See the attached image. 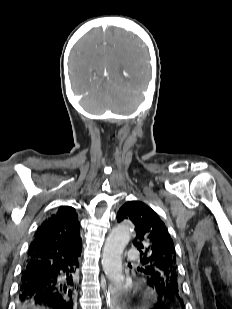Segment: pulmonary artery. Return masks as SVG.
<instances>
[{
  "label": "pulmonary artery",
  "mask_w": 232,
  "mask_h": 309,
  "mask_svg": "<svg viewBox=\"0 0 232 309\" xmlns=\"http://www.w3.org/2000/svg\"><path fill=\"white\" fill-rule=\"evenodd\" d=\"M127 257L131 260H137L139 258V253L137 250H130L127 253Z\"/></svg>",
  "instance_id": "pulmonary-artery-1"
}]
</instances>
